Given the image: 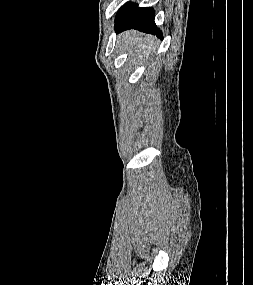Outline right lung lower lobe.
<instances>
[{"label": "right lung lower lobe", "mask_w": 253, "mask_h": 285, "mask_svg": "<svg viewBox=\"0 0 253 285\" xmlns=\"http://www.w3.org/2000/svg\"><path fill=\"white\" fill-rule=\"evenodd\" d=\"M154 17L155 12L152 8H139L136 4L127 3L116 15L115 29L117 32L136 29L142 32L155 34L162 39V33L154 23Z\"/></svg>", "instance_id": "1"}]
</instances>
